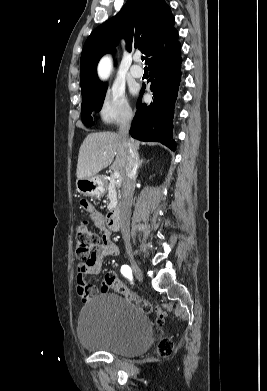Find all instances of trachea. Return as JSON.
Returning a JSON list of instances; mask_svg holds the SVG:
<instances>
[{
    "mask_svg": "<svg viewBox=\"0 0 267 391\" xmlns=\"http://www.w3.org/2000/svg\"><path fill=\"white\" fill-rule=\"evenodd\" d=\"M144 59H145L144 56H142V57H141V60L144 61Z\"/></svg>",
    "mask_w": 267,
    "mask_h": 391,
    "instance_id": "obj_1",
    "label": "trachea"
}]
</instances>
